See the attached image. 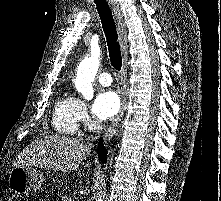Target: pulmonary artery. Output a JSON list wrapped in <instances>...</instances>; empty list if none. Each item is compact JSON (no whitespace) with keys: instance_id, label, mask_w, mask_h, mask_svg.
Returning a JSON list of instances; mask_svg holds the SVG:
<instances>
[{"instance_id":"1","label":"pulmonary artery","mask_w":221,"mask_h":201,"mask_svg":"<svg viewBox=\"0 0 221 201\" xmlns=\"http://www.w3.org/2000/svg\"><path fill=\"white\" fill-rule=\"evenodd\" d=\"M99 83L103 86H109L112 83V77L108 72H102L98 77Z\"/></svg>"}]
</instances>
